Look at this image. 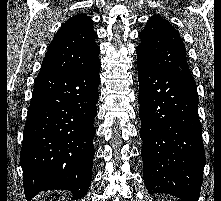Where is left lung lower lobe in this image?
I'll use <instances>...</instances> for the list:
<instances>
[{"label": "left lung lower lobe", "instance_id": "1", "mask_svg": "<svg viewBox=\"0 0 221 201\" xmlns=\"http://www.w3.org/2000/svg\"><path fill=\"white\" fill-rule=\"evenodd\" d=\"M137 68L146 188L198 201L206 159L195 81L140 60Z\"/></svg>", "mask_w": 221, "mask_h": 201}]
</instances>
